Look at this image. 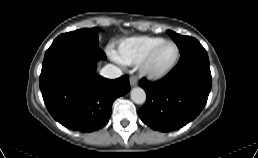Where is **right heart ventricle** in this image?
Segmentation results:
<instances>
[{
	"mask_svg": "<svg viewBox=\"0 0 258 158\" xmlns=\"http://www.w3.org/2000/svg\"><path fill=\"white\" fill-rule=\"evenodd\" d=\"M162 40V38L147 36L127 39L120 43L114 58L126 65H137Z\"/></svg>",
	"mask_w": 258,
	"mask_h": 158,
	"instance_id": "right-heart-ventricle-1",
	"label": "right heart ventricle"
}]
</instances>
